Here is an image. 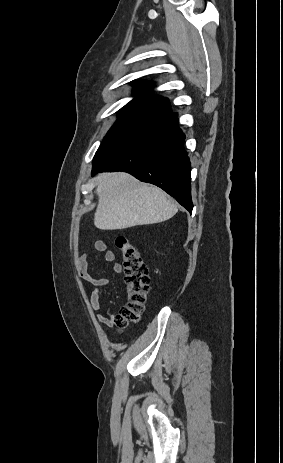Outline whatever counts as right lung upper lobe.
<instances>
[{"mask_svg":"<svg viewBox=\"0 0 283 463\" xmlns=\"http://www.w3.org/2000/svg\"><path fill=\"white\" fill-rule=\"evenodd\" d=\"M132 84L135 87L134 93L136 97L131 103L157 110L162 115L171 112L168 99L151 95V90L154 87L151 81L140 82L135 80Z\"/></svg>","mask_w":283,"mask_h":463,"instance_id":"obj_1","label":"right lung upper lobe"}]
</instances>
